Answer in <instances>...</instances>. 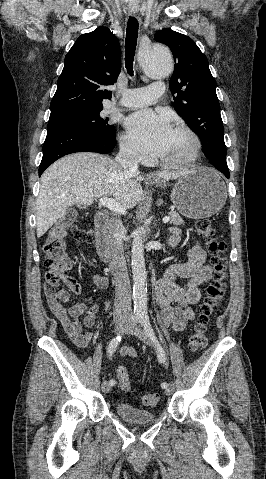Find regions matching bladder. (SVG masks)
I'll return each mask as SVG.
<instances>
[{
  "label": "bladder",
  "instance_id": "1",
  "mask_svg": "<svg viewBox=\"0 0 266 479\" xmlns=\"http://www.w3.org/2000/svg\"><path fill=\"white\" fill-rule=\"evenodd\" d=\"M116 412L127 423L145 424L155 420L153 411L137 408L128 402L117 403Z\"/></svg>",
  "mask_w": 266,
  "mask_h": 479
}]
</instances>
